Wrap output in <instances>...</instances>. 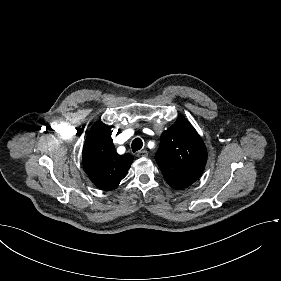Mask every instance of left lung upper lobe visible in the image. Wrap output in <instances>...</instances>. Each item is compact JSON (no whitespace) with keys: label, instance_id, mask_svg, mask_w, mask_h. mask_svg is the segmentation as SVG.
<instances>
[{"label":"left lung upper lobe","instance_id":"5c2ea615","mask_svg":"<svg viewBox=\"0 0 281 281\" xmlns=\"http://www.w3.org/2000/svg\"><path fill=\"white\" fill-rule=\"evenodd\" d=\"M155 159L166 182L174 189H183L201 176L207 151L192 125L180 117L162 133Z\"/></svg>","mask_w":281,"mask_h":281}]
</instances>
